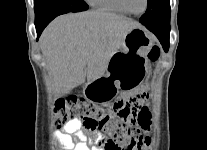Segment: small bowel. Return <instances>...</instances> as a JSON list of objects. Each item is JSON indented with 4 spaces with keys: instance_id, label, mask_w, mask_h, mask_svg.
I'll return each mask as SVG.
<instances>
[{
    "instance_id": "small-bowel-1",
    "label": "small bowel",
    "mask_w": 207,
    "mask_h": 150,
    "mask_svg": "<svg viewBox=\"0 0 207 150\" xmlns=\"http://www.w3.org/2000/svg\"><path fill=\"white\" fill-rule=\"evenodd\" d=\"M139 126L141 127V125ZM53 136L61 143V148L65 150H103L97 142L104 140V136L84 133L82 131V122L79 119L69 120L65 124L63 131H54Z\"/></svg>"
}]
</instances>
